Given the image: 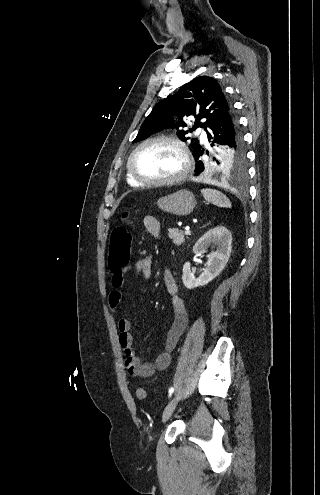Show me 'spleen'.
<instances>
[{"label":"spleen","instance_id":"3e777b00","mask_svg":"<svg viewBox=\"0 0 320 495\" xmlns=\"http://www.w3.org/2000/svg\"><path fill=\"white\" fill-rule=\"evenodd\" d=\"M202 194L205 200L213 205L225 208L231 207L230 200L220 191L215 189H203Z\"/></svg>","mask_w":320,"mask_h":495}]
</instances>
